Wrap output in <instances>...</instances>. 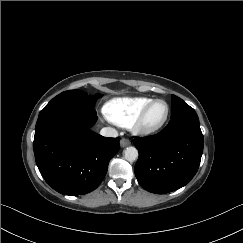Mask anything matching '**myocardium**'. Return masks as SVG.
Returning <instances> with one entry per match:
<instances>
[{"mask_svg": "<svg viewBox=\"0 0 243 243\" xmlns=\"http://www.w3.org/2000/svg\"><path fill=\"white\" fill-rule=\"evenodd\" d=\"M157 103H163L166 107V114L163 120L158 123L157 125L150 126L146 124V117L149 113V111L152 109V107ZM170 115V107L167 101L163 99H154L149 104H147L142 111L139 113L135 121L132 123L131 127L132 130L139 135H150L153 133L158 132L160 129H162L165 124L168 121Z\"/></svg>", "mask_w": 243, "mask_h": 243, "instance_id": "1", "label": "myocardium"}]
</instances>
